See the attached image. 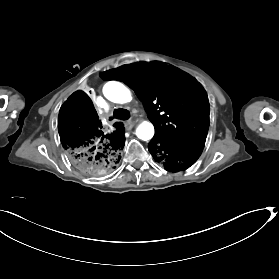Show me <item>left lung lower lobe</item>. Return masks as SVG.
<instances>
[{
  "mask_svg": "<svg viewBox=\"0 0 279 279\" xmlns=\"http://www.w3.org/2000/svg\"><path fill=\"white\" fill-rule=\"evenodd\" d=\"M203 147L200 144H177L154 139L148 144V150L154 160L172 172L189 168L199 158Z\"/></svg>",
  "mask_w": 279,
  "mask_h": 279,
  "instance_id": "obj_1",
  "label": "left lung lower lobe"
}]
</instances>
